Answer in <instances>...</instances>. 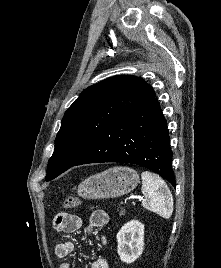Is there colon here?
I'll return each instance as SVG.
<instances>
[{
	"mask_svg": "<svg viewBox=\"0 0 221 268\" xmlns=\"http://www.w3.org/2000/svg\"><path fill=\"white\" fill-rule=\"evenodd\" d=\"M81 199L78 197H67L63 201V207L65 209H73L81 204Z\"/></svg>",
	"mask_w": 221,
	"mask_h": 268,
	"instance_id": "obj_1",
	"label": "colon"
}]
</instances>
